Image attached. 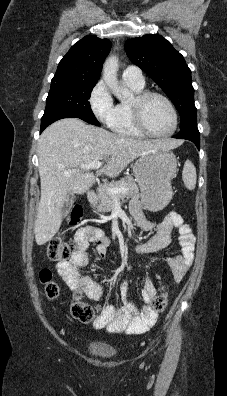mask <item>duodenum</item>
Instances as JSON below:
<instances>
[{
  "label": "duodenum",
  "instance_id": "duodenum-1",
  "mask_svg": "<svg viewBox=\"0 0 227 396\" xmlns=\"http://www.w3.org/2000/svg\"><path fill=\"white\" fill-rule=\"evenodd\" d=\"M97 194L95 193V191L91 190L88 192V201L90 204H95L97 202Z\"/></svg>",
  "mask_w": 227,
  "mask_h": 396
}]
</instances>
